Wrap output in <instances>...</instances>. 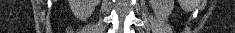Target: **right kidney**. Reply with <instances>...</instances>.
Returning a JSON list of instances; mask_svg holds the SVG:
<instances>
[{"label":"right kidney","instance_id":"right-kidney-1","mask_svg":"<svg viewBox=\"0 0 235 33\" xmlns=\"http://www.w3.org/2000/svg\"><path fill=\"white\" fill-rule=\"evenodd\" d=\"M99 0H70V8L77 17H88L92 14Z\"/></svg>","mask_w":235,"mask_h":33}]
</instances>
